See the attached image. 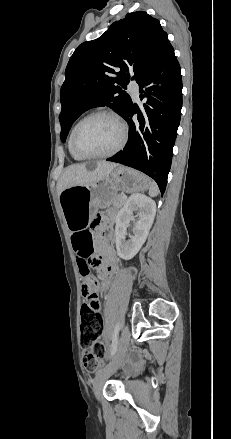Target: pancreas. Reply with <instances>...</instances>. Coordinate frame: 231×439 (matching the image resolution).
<instances>
[{
  "mask_svg": "<svg viewBox=\"0 0 231 439\" xmlns=\"http://www.w3.org/2000/svg\"><path fill=\"white\" fill-rule=\"evenodd\" d=\"M111 202L114 206L120 208L125 203V200L122 198V195L119 194L112 197Z\"/></svg>",
  "mask_w": 231,
  "mask_h": 439,
  "instance_id": "1",
  "label": "pancreas"
}]
</instances>
